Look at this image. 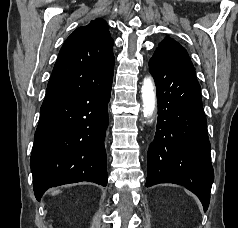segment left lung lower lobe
Instances as JSON below:
<instances>
[{
    "instance_id": "1",
    "label": "left lung lower lobe",
    "mask_w": 238,
    "mask_h": 228,
    "mask_svg": "<svg viewBox=\"0 0 238 228\" xmlns=\"http://www.w3.org/2000/svg\"><path fill=\"white\" fill-rule=\"evenodd\" d=\"M149 70L157 87L158 122L148 149L146 187L183 185L199 197L206 211L214 172L195 69L188 61L157 50Z\"/></svg>"
}]
</instances>
